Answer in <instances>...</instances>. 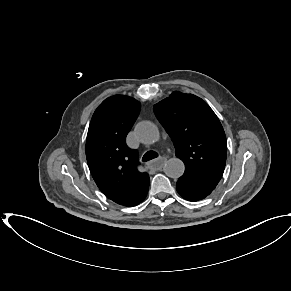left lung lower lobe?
I'll list each match as a JSON object with an SVG mask.
<instances>
[{
    "label": "left lung lower lobe",
    "instance_id": "obj_1",
    "mask_svg": "<svg viewBox=\"0 0 291 291\" xmlns=\"http://www.w3.org/2000/svg\"><path fill=\"white\" fill-rule=\"evenodd\" d=\"M178 193L186 200L188 201H198V200H201L203 198H200V197H197V196H194V195H191V194H188V193H185L183 191H181L180 189L176 188Z\"/></svg>",
    "mask_w": 291,
    "mask_h": 291
}]
</instances>
